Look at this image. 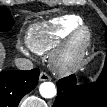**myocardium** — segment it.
I'll list each match as a JSON object with an SVG mask.
<instances>
[{
  "mask_svg": "<svg viewBox=\"0 0 107 107\" xmlns=\"http://www.w3.org/2000/svg\"><path fill=\"white\" fill-rule=\"evenodd\" d=\"M92 42L91 29L80 24L64 39L51 55L53 69L62 75L70 74L84 62Z\"/></svg>",
  "mask_w": 107,
  "mask_h": 107,
  "instance_id": "1",
  "label": "myocardium"
}]
</instances>
